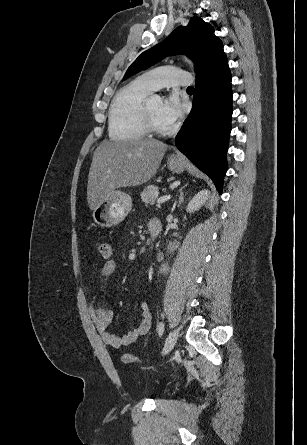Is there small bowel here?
<instances>
[{
  "instance_id": "1",
  "label": "small bowel",
  "mask_w": 307,
  "mask_h": 445,
  "mask_svg": "<svg viewBox=\"0 0 307 445\" xmlns=\"http://www.w3.org/2000/svg\"><path fill=\"white\" fill-rule=\"evenodd\" d=\"M156 228L161 230V225L158 220H152L149 224V230ZM116 271V263L113 260H108L101 268L100 275L102 278H108ZM96 297L94 296L89 307L90 316L98 330L103 342L114 348H120L136 342L140 337L146 335L151 329L152 314L149 305L146 301L140 303L141 321L135 330L125 333L122 336H116L108 331V328L113 320V312L95 304Z\"/></svg>"
}]
</instances>
